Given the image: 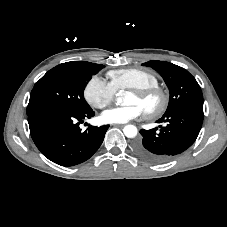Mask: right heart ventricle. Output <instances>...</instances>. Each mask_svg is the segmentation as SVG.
<instances>
[{"instance_id":"obj_1","label":"right heart ventricle","mask_w":227,"mask_h":227,"mask_svg":"<svg viewBox=\"0 0 227 227\" xmlns=\"http://www.w3.org/2000/svg\"><path fill=\"white\" fill-rule=\"evenodd\" d=\"M107 77L109 85L115 92L158 85V79L153 73L139 68L111 70L107 73Z\"/></svg>"}]
</instances>
